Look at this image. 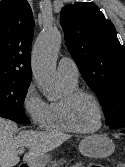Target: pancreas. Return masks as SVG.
<instances>
[{"instance_id":"obj_1","label":"pancreas","mask_w":125,"mask_h":167,"mask_svg":"<svg viewBox=\"0 0 125 167\" xmlns=\"http://www.w3.org/2000/svg\"><path fill=\"white\" fill-rule=\"evenodd\" d=\"M66 161L64 159L54 160L51 162V165L48 167H61Z\"/></svg>"}]
</instances>
